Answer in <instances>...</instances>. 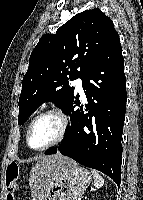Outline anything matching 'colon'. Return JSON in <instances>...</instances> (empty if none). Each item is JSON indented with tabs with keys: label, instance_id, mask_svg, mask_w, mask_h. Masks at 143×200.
Returning a JSON list of instances; mask_svg holds the SVG:
<instances>
[{
	"label": "colon",
	"instance_id": "5ec220e1",
	"mask_svg": "<svg viewBox=\"0 0 143 200\" xmlns=\"http://www.w3.org/2000/svg\"><path fill=\"white\" fill-rule=\"evenodd\" d=\"M19 180V168L16 163H11L6 170V189L8 191V200H13V194L17 190Z\"/></svg>",
	"mask_w": 143,
	"mask_h": 200
}]
</instances>
